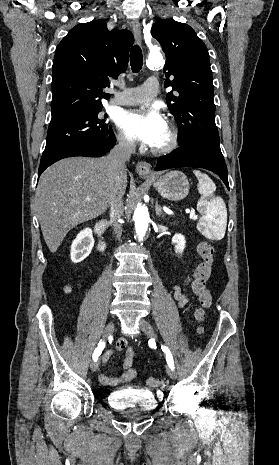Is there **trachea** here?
<instances>
[{"mask_svg": "<svg viewBox=\"0 0 279 465\" xmlns=\"http://www.w3.org/2000/svg\"><path fill=\"white\" fill-rule=\"evenodd\" d=\"M130 62L132 71L134 73L139 72L143 65V55L141 48L137 45L131 49Z\"/></svg>", "mask_w": 279, "mask_h": 465, "instance_id": "trachea-1", "label": "trachea"}]
</instances>
